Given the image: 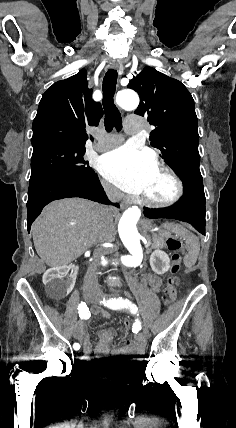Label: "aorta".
I'll return each instance as SVG.
<instances>
[{"mask_svg":"<svg viewBox=\"0 0 236 428\" xmlns=\"http://www.w3.org/2000/svg\"><path fill=\"white\" fill-rule=\"evenodd\" d=\"M117 104L126 110H134L139 104V97L133 90H122L117 93ZM141 216V210L136 207L128 208L122 215L118 232L121 241L129 251L128 255H123L120 262L126 267H138L143 260L144 251L140 243L141 235L137 230V222ZM108 261L103 259L102 265H107Z\"/></svg>","mask_w":236,"mask_h":428,"instance_id":"1","label":"aorta"}]
</instances>
